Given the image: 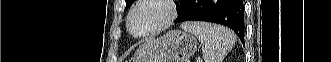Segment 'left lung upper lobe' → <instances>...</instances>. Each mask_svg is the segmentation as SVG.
I'll return each instance as SVG.
<instances>
[{"instance_id": "5c2ea615", "label": "left lung upper lobe", "mask_w": 331, "mask_h": 62, "mask_svg": "<svg viewBox=\"0 0 331 62\" xmlns=\"http://www.w3.org/2000/svg\"><path fill=\"white\" fill-rule=\"evenodd\" d=\"M126 1V8L130 7L131 4L135 1V0H125ZM179 2H176V6L179 8H183L184 5L186 4L187 0H178Z\"/></svg>"}]
</instances>
